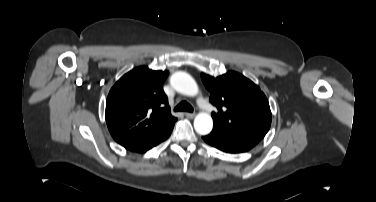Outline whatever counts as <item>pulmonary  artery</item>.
<instances>
[{
	"label": "pulmonary artery",
	"instance_id": "1",
	"mask_svg": "<svg viewBox=\"0 0 376 202\" xmlns=\"http://www.w3.org/2000/svg\"><path fill=\"white\" fill-rule=\"evenodd\" d=\"M198 105L204 111H206V112L210 111V105L208 104L207 100L205 98H203L202 96H200L198 98Z\"/></svg>",
	"mask_w": 376,
	"mask_h": 202
}]
</instances>
